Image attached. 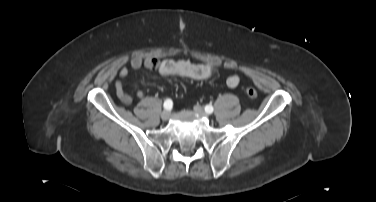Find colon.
I'll list each match as a JSON object with an SVG mask.
<instances>
[{"label":"colon","mask_w":376,"mask_h":202,"mask_svg":"<svg viewBox=\"0 0 376 202\" xmlns=\"http://www.w3.org/2000/svg\"><path fill=\"white\" fill-rule=\"evenodd\" d=\"M246 94L251 97V98H255L257 96V91L256 89L252 88V87H248L246 89Z\"/></svg>","instance_id":"5ec220e1"}]
</instances>
